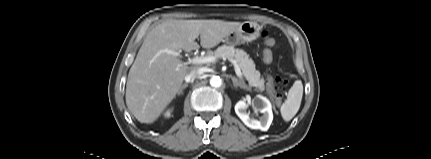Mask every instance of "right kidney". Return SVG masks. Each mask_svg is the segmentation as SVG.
Segmentation results:
<instances>
[{
  "instance_id": "1",
  "label": "right kidney",
  "mask_w": 431,
  "mask_h": 159,
  "mask_svg": "<svg viewBox=\"0 0 431 159\" xmlns=\"http://www.w3.org/2000/svg\"><path fill=\"white\" fill-rule=\"evenodd\" d=\"M165 115H166L167 117H169V116H170V112H167Z\"/></svg>"
}]
</instances>
